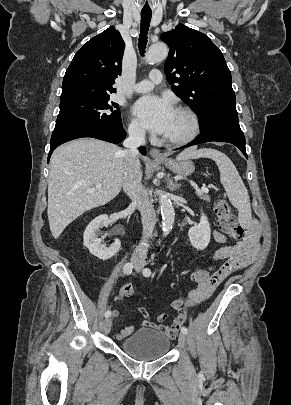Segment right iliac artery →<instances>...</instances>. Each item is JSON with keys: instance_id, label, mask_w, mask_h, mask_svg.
Instances as JSON below:
<instances>
[{"instance_id": "right-iliac-artery-1", "label": "right iliac artery", "mask_w": 291, "mask_h": 405, "mask_svg": "<svg viewBox=\"0 0 291 405\" xmlns=\"http://www.w3.org/2000/svg\"><path fill=\"white\" fill-rule=\"evenodd\" d=\"M132 269H133L132 264H131V263H126V264L124 265V267H123V272H124V274L129 275V274H131ZM110 316H111V311H110V310H107V311L105 312V317L108 318V317H110Z\"/></svg>"}]
</instances>
